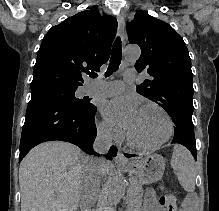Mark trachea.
<instances>
[{"label":"trachea","mask_w":219,"mask_h":211,"mask_svg":"<svg viewBox=\"0 0 219 211\" xmlns=\"http://www.w3.org/2000/svg\"><path fill=\"white\" fill-rule=\"evenodd\" d=\"M121 57H122L121 39L120 37H117L112 47L111 59L108 69L105 73V76H110L112 75V73L118 70L119 65L121 63ZM89 76L91 78H96L97 74L95 72H91Z\"/></svg>","instance_id":"trachea-1"}]
</instances>
